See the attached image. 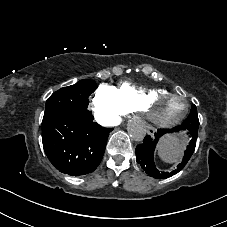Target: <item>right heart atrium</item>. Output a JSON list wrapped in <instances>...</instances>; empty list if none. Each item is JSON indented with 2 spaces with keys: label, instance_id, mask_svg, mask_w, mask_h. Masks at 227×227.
<instances>
[{
  "label": "right heart atrium",
  "instance_id": "d8ad5b80",
  "mask_svg": "<svg viewBox=\"0 0 227 227\" xmlns=\"http://www.w3.org/2000/svg\"><path fill=\"white\" fill-rule=\"evenodd\" d=\"M91 107L96 120L106 127L119 125L127 114L118 97L116 88L107 83L99 85L95 91Z\"/></svg>",
  "mask_w": 227,
  "mask_h": 227
}]
</instances>
